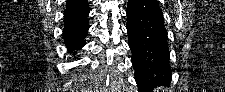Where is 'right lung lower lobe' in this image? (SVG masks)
<instances>
[{"mask_svg":"<svg viewBox=\"0 0 225 92\" xmlns=\"http://www.w3.org/2000/svg\"><path fill=\"white\" fill-rule=\"evenodd\" d=\"M88 13L78 18L64 21L63 39L69 51L81 49L88 33Z\"/></svg>","mask_w":225,"mask_h":92,"instance_id":"right-lung-lower-lobe-1","label":"right lung lower lobe"}]
</instances>
